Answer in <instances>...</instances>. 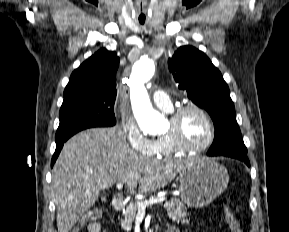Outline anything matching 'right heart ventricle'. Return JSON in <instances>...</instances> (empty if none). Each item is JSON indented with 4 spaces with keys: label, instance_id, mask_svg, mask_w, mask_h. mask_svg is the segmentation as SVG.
I'll return each instance as SVG.
<instances>
[{
    "label": "right heart ventricle",
    "instance_id": "obj_1",
    "mask_svg": "<svg viewBox=\"0 0 289 232\" xmlns=\"http://www.w3.org/2000/svg\"><path fill=\"white\" fill-rule=\"evenodd\" d=\"M168 112L172 111V108L170 110H166ZM179 153L176 151L168 142V140L165 138V136H161L155 140V151L152 156L162 158V157H170L175 154Z\"/></svg>",
    "mask_w": 289,
    "mask_h": 232
}]
</instances>
